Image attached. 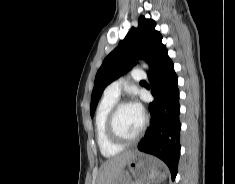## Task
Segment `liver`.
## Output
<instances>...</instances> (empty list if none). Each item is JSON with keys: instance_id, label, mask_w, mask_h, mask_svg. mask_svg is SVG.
Returning a JSON list of instances; mask_svg holds the SVG:
<instances>
[{"instance_id": "1", "label": "liver", "mask_w": 235, "mask_h": 184, "mask_svg": "<svg viewBox=\"0 0 235 184\" xmlns=\"http://www.w3.org/2000/svg\"><path fill=\"white\" fill-rule=\"evenodd\" d=\"M133 154L134 152H123L120 156H114V158H109L107 162H104L99 168L97 184H111L112 180L128 164L130 156H133Z\"/></svg>"}]
</instances>
